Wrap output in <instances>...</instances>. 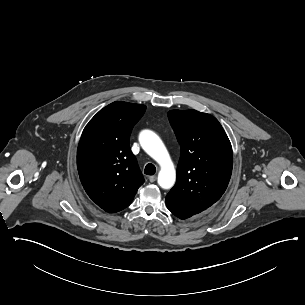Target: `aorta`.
<instances>
[{"mask_svg":"<svg viewBox=\"0 0 305 305\" xmlns=\"http://www.w3.org/2000/svg\"><path fill=\"white\" fill-rule=\"evenodd\" d=\"M139 142L144 151L161 166L158 174V184L163 189L173 187L176 172L169 153L159 136L153 131L144 130L139 135Z\"/></svg>","mask_w":305,"mask_h":305,"instance_id":"obj_1","label":"aorta"}]
</instances>
